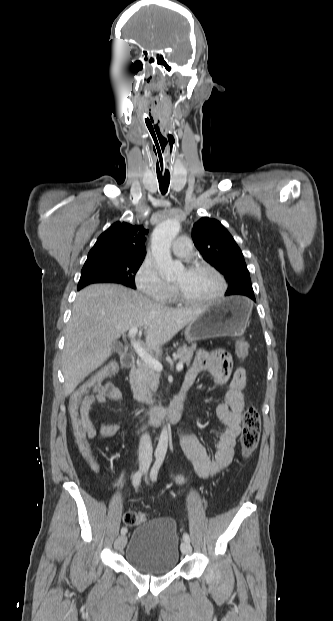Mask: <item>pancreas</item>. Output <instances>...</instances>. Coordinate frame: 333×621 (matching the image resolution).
Listing matches in <instances>:
<instances>
[{"instance_id": "cf45deb5", "label": "pancreas", "mask_w": 333, "mask_h": 621, "mask_svg": "<svg viewBox=\"0 0 333 621\" xmlns=\"http://www.w3.org/2000/svg\"><path fill=\"white\" fill-rule=\"evenodd\" d=\"M196 346L188 347L183 345L178 349L177 358L179 362L190 364ZM159 381V372L145 363L144 360L137 362V368L130 372V385L133 391V397L138 402H148L152 398V394L157 390Z\"/></svg>"}]
</instances>
